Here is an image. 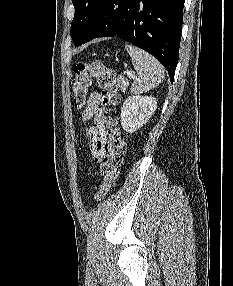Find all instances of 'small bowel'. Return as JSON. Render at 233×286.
I'll return each mask as SVG.
<instances>
[{
	"label": "small bowel",
	"mask_w": 233,
	"mask_h": 286,
	"mask_svg": "<svg viewBox=\"0 0 233 286\" xmlns=\"http://www.w3.org/2000/svg\"><path fill=\"white\" fill-rule=\"evenodd\" d=\"M101 96L95 91L91 93L86 107L82 113V121L94 120V125L87 129L86 135L89 140V153L96 162H101L106 154L104 144L107 139L105 117L100 107Z\"/></svg>",
	"instance_id": "c3829d8e"
}]
</instances>
